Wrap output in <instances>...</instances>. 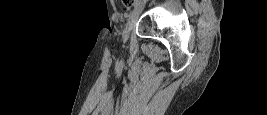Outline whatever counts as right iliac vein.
Instances as JSON below:
<instances>
[{
  "mask_svg": "<svg viewBox=\"0 0 267 115\" xmlns=\"http://www.w3.org/2000/svg\"><path fill=\"white\" fill-rule=\"evenodd\" d=\"M143 7V4H140L137 8L134 9V11L131 14L130 20L128 21L127 25H126V30H125V34L126 36L129 35V33L131 32V30L134 27L135 22L138 20V17L140 15L141 12V8Z\"/></svg>",
  "mask_w": 267,
  "mask_h": 115,
  "instance_id": "obj_1",
  "label": "right iliac vein"
}]
</instances>
